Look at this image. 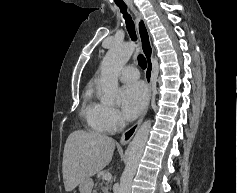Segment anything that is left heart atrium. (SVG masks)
<instances>
[{"label": "left heart atrium", "instance_id": "1", "mask_svg": "<svg viewBox=\"0 0 237 193\" xmlns=\"http://www.w3.org/2000/svg\"><path fill=\"white\" fill-rule=\"evenodd\" d=\"M148 91L142 82L126 85L122 89V111L127 119H133L140 114L146 105Z\"/></svg>", "mask_w": 237, "mask_h": 193}]
</instances>
